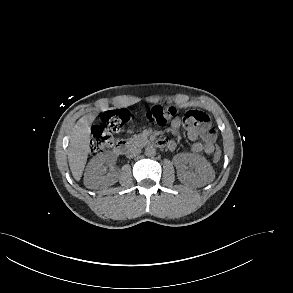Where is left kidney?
<instances>
[{"mask_svg":"<svg viewBox=\"0 0 293 293\" xmlns=\"http://www.w3.org/2000/svg\"><path fill=\"white\" fill-rule=\"evenodd\" d=\"M179 157L184 163H190L195 168V172H188L184 167L178 169L177 176L182 183L191 182L196 186H204L213 180L214 171L206 158L193 153H181Z\"/></svg>","mask_w":293,"mask_h":293,"instance_id":"left-kidney-1","label":"left kidney"}]
</instances>
